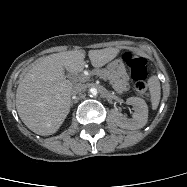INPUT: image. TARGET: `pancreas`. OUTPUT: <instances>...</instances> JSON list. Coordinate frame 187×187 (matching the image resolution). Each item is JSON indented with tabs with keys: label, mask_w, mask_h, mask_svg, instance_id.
Segmentation results:
<instances>
[{
	"label": "pancreas",
	"mask_w": 187,
	"mask_h": 187,
	"mask_svg": "<svg viewBox=\"0 0 187 187\" xmlns=\"http://www.w3.org/2000/svg\"><path fill=\"white\" fill-rule=\"evenodd\" d=\"M93 75H97L100 77L105 78L106 80H109L113 89L118 93L121 94L124 91L128 89V84L125 81H122L120 79L115 78L112 76L109 71L105 69H98L92 72ZM88 77H85V80H88Z\"/></svg>",
	"instance_id": "obj_1"
}]
</instances>
